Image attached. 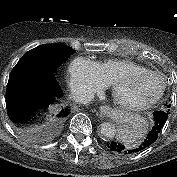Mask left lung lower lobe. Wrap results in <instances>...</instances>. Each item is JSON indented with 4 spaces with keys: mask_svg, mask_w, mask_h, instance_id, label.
<instances>
[{
    "mask_svg": "<svg viewBox=\"0 0 177 177\" xmlns=\"http://www.w3.org/2000/svg\"><path fill=\"white\" fill-rule=\"evenodd\" d=\"M153 115H154V126L143 142L131 148L118 142H112L109 148L116 153L132 154L140 152L149 147L151 144H153L157 140L162 128L165 125V122L168 118V112L164 110L156 111L153 113Z\"/></svg>",
    "mask_w": 177,
    "mask_h": 177,
    "instance_id": "left-lung-lower-lobe-1",
    "label": "left lung lower lobe"
}]
</instances>
